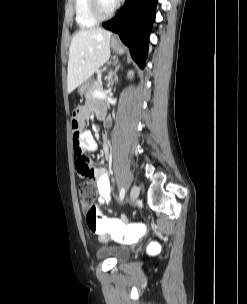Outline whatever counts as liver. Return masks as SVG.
<instances>
[{
    "label": "liver",
    "mask_w": 247,
    "mask_h": 304,
    "mask_svg": "<svg viewBox=\"0 0 247 304\" xmlns=\"http://www.w3.org/2000/svg\"><path fill=\"white\" fill-rule=\"evenodd\" d=\"M111 35L110 31L91 28L73 36L68 61V93L89 80L109 60Z\"/></svg>",
    "instance_id": "1"
}]
</instances>
